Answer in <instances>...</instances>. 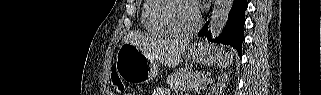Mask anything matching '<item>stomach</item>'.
Masks as SVG:
<instances>
[{
    "instance_id": "0dacf381",
    "label": "stomach",
    "mask_w": 321,
    "mask_h": 95,
    "mask_svg": "<svg viewBox=\"0 0 321 95\" xmlns=\"http://www.w3.org/2000/svg\"><path fill=\"white\" fill-rule=\"evenodd\" d=\"M188 55L198 63L203 61L212 63L219 53L216 52L206 59L205 48L200 44H195L188 49ZM115 69L123 80L134 83H147L158 73V65L154 59L131 43H124L120 46Z\"/></svg>"
}]
</instances>
